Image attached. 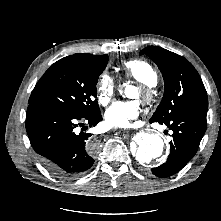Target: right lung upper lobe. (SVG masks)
Here are the masks:
<instances>
[{
  "label": "right lung upper lobe",
  "mask_w": 221,
  "mask_h": 221,
  "mask_svg": "<svg viewBox=\"0 0 221 221\" xmlns=\"http://www.w3.org/2000/svg\"><path fill=\"white\" fill-rule=\"evenodd\" d=\"M72 58L81 59V60H95L99 59L100 55H92V54H74L70 55Z\"/></svg>",
  "instance_id": "cb5924a9"
}]
</instances>
